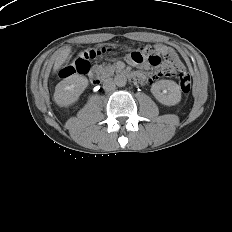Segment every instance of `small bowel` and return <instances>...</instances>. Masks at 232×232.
Segmentation results:
<instances>
[{
    "mask_svg": "<svg viewBox=\"0 0 232 232\" xmlns=\"http://www.w3.org/2000/svg\"><path fill=\"white\" fill-rule=\"evenodd\" d=\"M163 48V50L165 51V54H167L168 56H171L173 57L174 59V64L176 65L177 68L181 69L182 68V63L180 61V59L178 58L177 54L175 53V51L170 48V47H167V46H161ZM147 59H144L142 62L140 63H143L145 62ZM129 62L133 65H136V64H140V63H137L135 62L131 57H129Z\"/></svg>",
    "mask_w": 232,
    "mask_h": 232,
    "instance_id": "obj_1",
    "label": "small bowel"
}]
</instances>
